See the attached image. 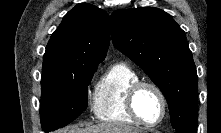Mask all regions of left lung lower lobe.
Here are the masks:
<instances>
[{"label": "left lung lower lobe", "mask_w": 221, "mask_h": 133, "mask_svg": "<svg viewBox=\"0 0 221 133\" xmlns=\"http://www.w3.org/2000/svg\"><path fill=\"white\" fill-rule=\"evenodd\" d=\"M176 133H197V127L176 131Z\"/></svg>", "instance_id": "1"}]
</instances>
